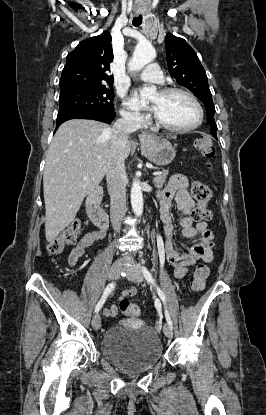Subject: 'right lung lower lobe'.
<instances>
[{"label":"right lung lower lobe","instance_id":"98d812e1","mask_svg":"<svg viewBox=\"0 0 266 415\" xmlns=\"http://www.w3.org/2000/svg\"><path fill=\"white\" fill-rule=\"evenodd\" d=\"M115 112H102L83 109H65L59 110L57 116L56 129L65 121L70 119H92L105 123H111L114 120Z\"/></svg>","mask_w":266,"mask_h":415}]
</instances>
